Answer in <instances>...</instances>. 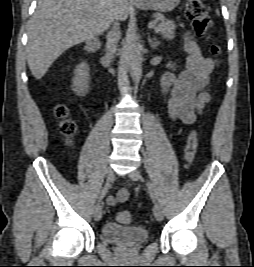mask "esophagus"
Wrapping results in <instances>:
<instances>
[{"label":"esophagus","instance_id":"34e87169","mask_svg":"<svg viewBox=\"0 0 254 267\" xmlns=\"http://www.w3.org/2000/svg\"><path fill=\"white\" fill-rule=\"evenodd\" d=\"M131 1H134V2H139V1H141V0H131Z\"/></svg>","mask_w":254,"mask_h":267}]
</instances>
